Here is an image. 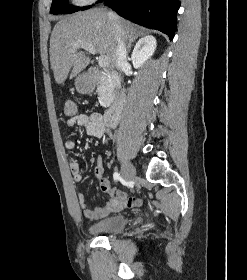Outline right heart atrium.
I'll return each mask as SVG.
<instances>
[{"mask_svg": "<svg viewBox=\"0 0 247 280\" xmlns=\"http://www.w3.org/2000/svg\"><path fill=\"white\" fill-rule=\"evenodd\" d=\"M95 0H74L75 3L79 4V5H87L92 3Z\"/></svg>", "mask_w": 247, "mask_h": 280, "instance_id": "obj_1", "label": "right heart atrium"}]
</instances>
